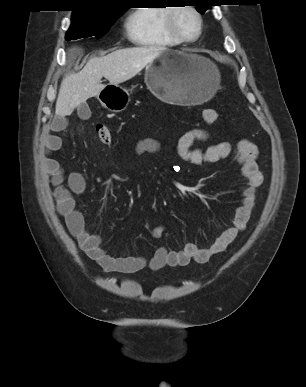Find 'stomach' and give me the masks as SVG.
Masks as SVG:
<instances>
[{
    "label": "stomach",
    "mask_w": 306,
    "mask_h": 387,
    "mask_svg": "<svg viewBox=\"0 0 306 387\" xmlns=\"http://www.w3.org/2000/svg\"><path fill=\"white\" fill-rule=\"evenodd\" d=\"M145 82L168 108H187L213 97L220 73L209 59L170 46L146 66ZM97 97L102 106L114 112L124 110L129 103L128 90L119 84L106 86Z\"/></svg>",
    "instance_id": "obj_1"
}]
</instances>
